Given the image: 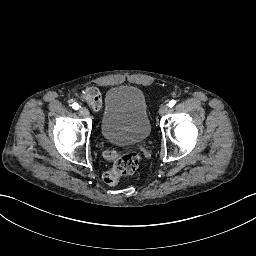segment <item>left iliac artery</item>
Wrapping results in <instances>:
<instances>
[{"instance_id": "left-iliac-artery-1", "label": "left iliac artery", "mask_w": 256, "mask_h": 256, "mask_svg": "<svg viewBox=\"0 0 256 256\" xmlns=\"http://www.w3.org/2000/svg\"><path fill=\"white\" fill-rule=\"evenodd\" d=\"M175 104H176V101H175V100H171V101L168 103V106H169L170 108H172Z\"/></svg>"}]
</instances>
